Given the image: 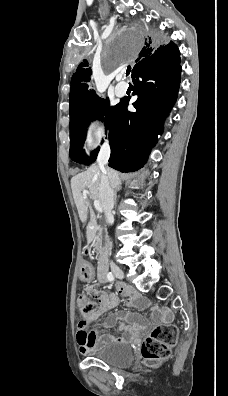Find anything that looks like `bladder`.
Instances as JSON below:
<instances>
[{
	"mask_svg": "<svg viewBox=\"0 0 228 396\" xmlns=\"http://www.w3.org/2000/svg\"><path fill=\"white\" fill-rule=\"evenodd\" d=\"M91 355L109 365L125 367L134 360L132 347L126 342H111L95 348Z\"/></svg>",
	"mask_w": 228,
	"mask_h": 396,
	"instance_id": "bladder-1",
	"label": "bladder"
}]
</instances>
